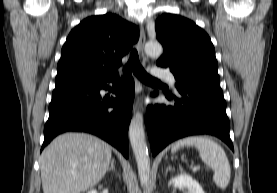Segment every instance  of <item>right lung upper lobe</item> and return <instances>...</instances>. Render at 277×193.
<instances>
[{"label":"right lung upper lobe","instance_id":"1","mask_svg":"<svg viewBox=\"0 0 277 193\" xmlns=\"http://www.w3.org/2000/svg\"><path fill=\"white\" fill-rule=\"evenodd\" d=\"M138 37L139 29L116 14L84 19L70 32L62 47L55 88L94 84L116 77L121 58Z\"/></svg>","mask_w":277,"mask_h":193}]
</instances>
